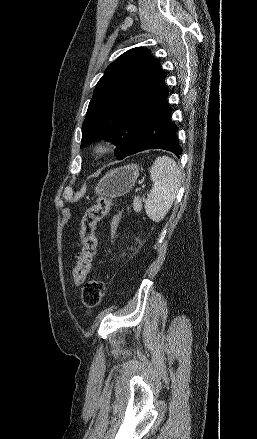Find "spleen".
Listing matches in <instances>:
<instances>
[{"mask_svg": "<svg viewBox=\"0 0 257 439\" xmlns=\"http://www.w3.org/2000/svg\"><path fill=\"white\" fill-rule=\"evenodd\" d=\"M153 188L147 194L145 211L150 220L160 222L171 208L178 192L181 173L168 156L157 157L150 169Z\"/></svg>", "mask_w": 257, "mask_h": 439, "instance_id": "3e777b00", "label": "spleen"}]
</instances>
